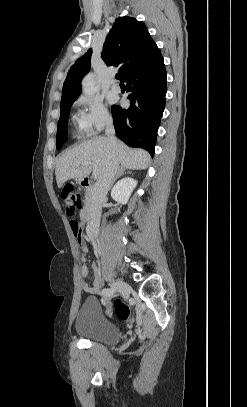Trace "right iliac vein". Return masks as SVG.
<instances>
[{
	"label": "right iliac vein",
	"mask_w": 247,
	"mask_h": 407,
	"mask_svg": "<svg viewBox=\"0 0 247 407\" xmlns=\"http://www.w3.org/2000/svg\"><path fill=\"white\" fill-rule=\"evenodd\" d=\"M111 287L114 288L115 290H118L125 299L128 298V296L132 290V288L129 284H127L123 281H119V280L112 281Z\"/></svg>",
	"instance_id": "obj_1"
}]
</instances>
